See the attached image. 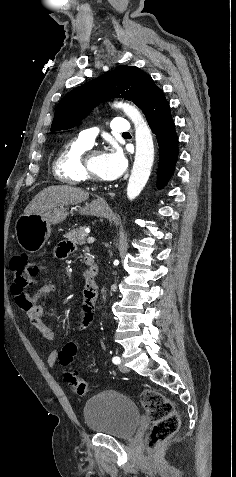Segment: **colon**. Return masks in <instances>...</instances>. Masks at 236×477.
Here are the masks:
<instances>
[{"instance_id": "5ec220e1", "label": "colon", "mask_w": 236, "mask_h": 477, "mask_svg": "<svg viewBox=\"0 0 236 477\" xmlns=\"http://www.w3.org/2000/svg\"><path fill=\"white\" fill-rule=\"evenodd\" d=\"M10 267L13 273L12 292L18 303L22 295L29 294L38 276V263L31 262L26 254H18L11 260ZM79 347L76 343H67L58 354L62 366L69 365L77 355ZM64 379L73 392L79 396L89 393L88 384L80 379L74 371H66ZM141 403L148 418L152 422L149 439L150 448H155L171 438L179 428L180 418L172 402L162 393L154 389H146L141 394Z\"/></svg>"}]
</instances>
